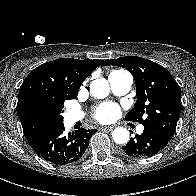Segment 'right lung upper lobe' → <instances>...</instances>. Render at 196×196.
Returning <instances> with one entry per match:
<instances>
[{
	"instance_id": "cb5924a9",
	"label": "right lung upper lobe",
	"mask_w": 196,
	"mask_h": 196,
	"mask_svg": "<svg viewBox=\"0 0 196 196\" xmlns=\"http://www.w3.org/2000/svg\"><path fill=\"white\" fill-rule=\"evenodd\" d=\"M102 62L61 58L44 63L29 73L20 87L17 102V112L28 143L58 126L43 108V102L77 96L85 78Z\"/></svg>"
}]
</instances>
